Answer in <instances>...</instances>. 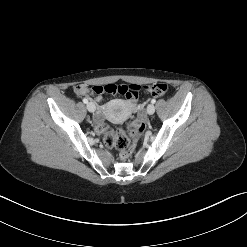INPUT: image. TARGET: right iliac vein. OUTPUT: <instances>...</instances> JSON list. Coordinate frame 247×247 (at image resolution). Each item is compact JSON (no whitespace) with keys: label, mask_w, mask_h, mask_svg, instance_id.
I'll return each instance as SVG.
<instances>
[{"label":"right iliac vein","mask_w":247,"mask_h":247,"mask_svg":"<svg viewBox=\"0 0 247 247\" xmlns=\"http://www.w3.org/2000/svg\"><path fill=\"white\" fill-rule=\"evenodd\" d=\"M87 109L89 112H94L96 109V106L93 102H89V103H87Z\"/></svg>","instance_id":"obj_1"}]
</instances>
